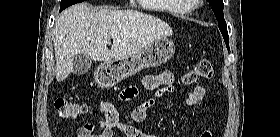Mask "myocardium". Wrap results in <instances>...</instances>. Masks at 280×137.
Segmentation results:
<instances>
[{
  "label": "myocardium",
  "mask_w": 280,
  "mask_h": 137,
  "mask_svg": "<svg viewBox=\"0 0 280 137\" xmlns=\"http://www.w3.org/2000/svg\"><path fill=\"white\" fill-rule=\"evenodd\" d=\"M185 1H187L189 3V6H191V7L195 6V4H193V2H196V1H193V0H185Z\"/></svg>",
  "instance_id": "f54148a6"
}]
</instances>
